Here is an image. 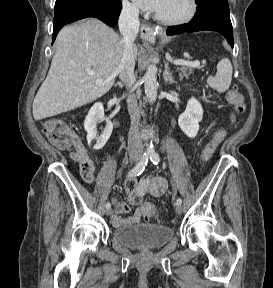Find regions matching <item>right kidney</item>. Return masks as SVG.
Segmentation results:
<instances>
[{"label": "right kidney", "instance_id": "ca27d5eb", "mask_svg": "<svg viewBox=\"0 0 273 288\" xmlns=\"http://www.w3.org/2000/svg\"><path fill=\"white\" fill-rule=\"evenodd\" d=\"M104 120V108L102 103H95L89 110L84 121V129L87 132L88 144H91L93 140L96 141L93 146L94 150H100L104 147L113 130L112 122L106 120V126L102 130V133L100 135L97 134V123Z\"/></svg>", "mask_w": 273, "mask_h": 288}]
</instances>
